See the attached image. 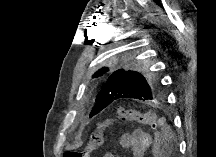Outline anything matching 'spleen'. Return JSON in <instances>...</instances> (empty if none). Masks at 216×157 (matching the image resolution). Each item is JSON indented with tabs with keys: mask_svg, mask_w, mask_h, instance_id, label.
I'll use <instances>...</instances> for the list:
<instances>
[{
	"mask_svg": "<svg viewBox=\"0 0 216 157\" xmlns=\"http://www.w3.org/2000/svg\"><path fill=\"white\" fill-rule=\"evenodd\" d=\"M164 141H169V143H172V141H174V135L171 132H169L167 136H164Z\"/></svg>",
	"mask_w": 216,
	"mask_h": 157,
	"instance_id": "spleen-1",
	"label": "spleen"
}]
</instances>
